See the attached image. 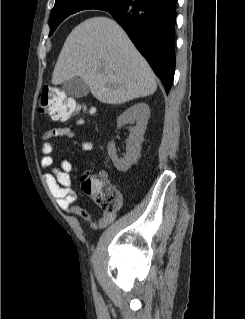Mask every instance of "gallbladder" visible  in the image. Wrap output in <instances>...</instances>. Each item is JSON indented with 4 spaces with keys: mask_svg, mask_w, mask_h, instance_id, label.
<instances>
[{
    "mask_svg": "<svg viewBox=\"0 0 245 319\" xmlns=\"http://www.w3.org/2000/svg\"><path fill=\"white\" fill-rule=\"evenodd\" d=\"M62 90L70 97L83 98L88 95V85L79 77L66 80L62 84Z\"/></svg>",
    "mask_w": 245,
    "mask_h": 319,
    "instance_id": "bac80fb5",
    "label": "gallbladder"
}]
</instances>
